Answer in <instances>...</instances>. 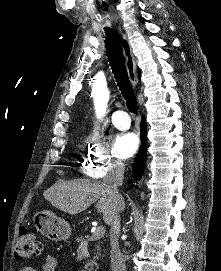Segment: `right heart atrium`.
Masks as SVG:
<instances>
[{
    "mask_svg": "<svg viewBox=\"0 0 221 271\" xmlns=\"http://www.w3.org/2000/svg\"><path fill=\"white\" fill-rule=\"evenodd\" d=\"M89 151H78L82 160L81 170L85 177H104L107 167H111L110 159L113 155L109 151H98V146H89Z\"/></svg>",
    "mask_w": 221,
    "mask_h": 271,
    "instance_id": "1",
    "label": "right heart atrium"
}]
</instances>
